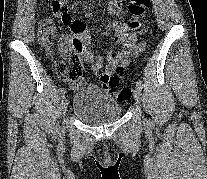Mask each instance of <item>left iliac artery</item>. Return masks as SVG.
<instances>
[{"mask_svg":"<svg viewBox=\"0 0 207 179\" xmlns=\"http://www.w3.org/2000/svg\"><path fill=\"white\" fill-rule=\"evenodd\" d=\"M136 86H137L139 89H143L142 81H141V80H137V82H136Z\"/></svg>","mask_w":207,"mask_h":179,"instance_id":"left-iliac-artery-1","label":"left iliac artery"}]
</instances>
